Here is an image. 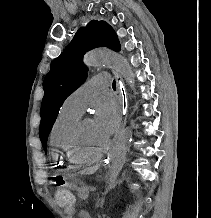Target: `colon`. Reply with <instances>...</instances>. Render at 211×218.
I'll return each instance as SVG.
<instances>
[{
	"instance_id": "5ec220e1",
	"label": "colon",
	"mask_w": 211,
	"mask_h": 218,
	"mask_svg": "<svg viewBox=\"0 0 211 218\" xmlns=\"http://www.w3.org/2000/svg\"><path fill=\"white\" fill-rule=\"evenodd\" d=\"M55 200L59 206L70 207L75 202L72 191L65 185H59L55 191Z\"/></svg>"
}]
</instances>
